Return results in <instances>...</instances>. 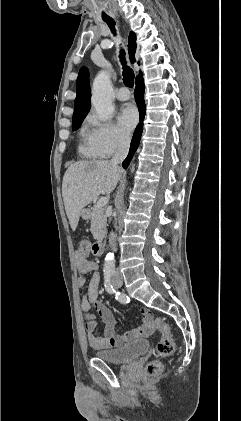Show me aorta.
I'll list each match as a JSON object with an SVG mask.
<instances>
[{"label": "aorta", "instance_id": "aorta-1", "mask_svg": "<svg viewBox=\"0 0 241 421\" xmlns=\"http://www.w3.org/2000/svg\"><path fill=\"white\" fill-rule=\"evenodd\" d=\"M91 101L101 120L106 121L113 113L112 86L106 71H100L95 77ZM113 265L114 255L108 253L105 258V266L112 267Z\"/></svg>", "mask_w": 241, "mask_h": 421}]
</instances>
